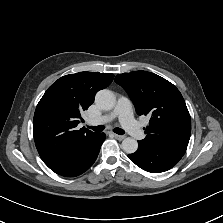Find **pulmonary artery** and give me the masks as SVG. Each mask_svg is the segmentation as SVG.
<instances>
[{
  "mask_svg": "<svg viewBox=\"0 0 223 223\" xmlns=\"http://www.w3.org/2000/svg\"><path fill=\"white\" fill-rule=\"evenodd\" d=\"M116 118H118L120 123L131 132L133 138L140 140L145 139V132L139 131L138 123L134 120L131 102L124 96L118 98L112 111L99 118L89 119L88 123L90 125L105 124Z\"/></svg>",
  "mask_w": 223,
  "mask_h": 223,
  "instance_id": "obj_1",
  "label": "pulmonary artery"
}]
</instances>
